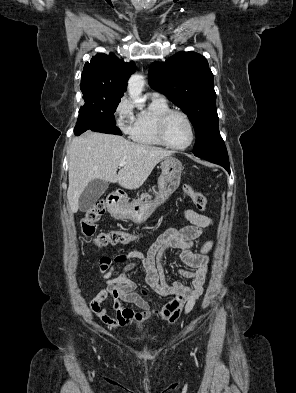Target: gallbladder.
Segmentation results:
<instances>
[{
    "label": "gallbladder",
    "instance_id": "gallbladder-1",
    "mask_svg": "<svg viewBox=\"0 0 296 393\" xmlns=\"http://www.w3.org/2000/svg\"><path fill=\"white\" fill-rule=\"evenodd\" d=\"M108 182L94 179L85 187L79 198V210L86 212L91 209L101 195L108 189Z\"/></svg>",
    "mask_w": 296,
    "mask_h": 393
}]
</instances>
